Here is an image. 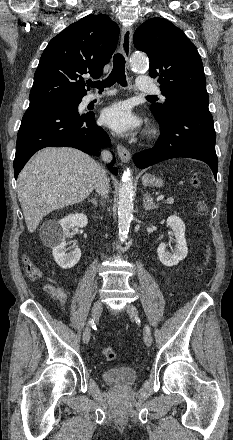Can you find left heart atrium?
I'll return each mask as SVG.
<instances>
[{"label": "left heart atrium", "mask_w": 233, "mask_h": 440, "mask_svg": "<svg viewBox=\"0 0 233 440\" xmlns=\"http://www.w3.org/2000/svg\"><path fill=\"white\" fill-rule=\"evenodd\" d=\"M103 123L118 133H128L139 128L141 121L126 102L115 103L106 108L102 115Z\"/></svg>", "instance_id": "obj_1"}]
</instances>
